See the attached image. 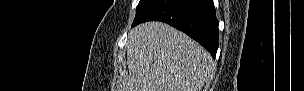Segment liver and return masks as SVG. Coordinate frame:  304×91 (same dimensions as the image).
<instances>
[{
	"instance_id": "1",
	"label": "liver",
	"mask_w": 304,
	"mask_h": 91,
	"mask_svg": "<svg viewBox=\"0 0 304 91\" xmlns=\"http://www.w3.org/2000/svg\"><path fill=\"white\" fill-rule=\"evenodd\" d=\"M129 76L119 91H201L213 74L211 55L183 32L146 22L129 34Z\"/></svg>"
}]
</instances>
